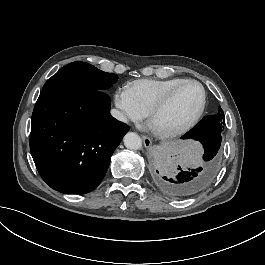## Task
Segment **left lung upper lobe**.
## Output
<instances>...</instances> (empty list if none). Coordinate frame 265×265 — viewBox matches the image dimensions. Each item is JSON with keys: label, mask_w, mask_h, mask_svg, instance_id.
<instances>
[{"label": "left lung upper lobe", "mask_w": 265, "mask_h": 265, "mask_svg": "<svg viewBox=\"0 0 265 265\" xmlns=\"http://www.w3.org/2000/svg\"><path fill=\"white\" fill-rule=\"evenodd\" d=\"M213 118L215 121H218L220 123H224V120H223V111L222 109L219 107V112L216 114V115H213Z\"/></svg>", "instance_id": "left-lung-upper-lobe-1"}]
</instances>
